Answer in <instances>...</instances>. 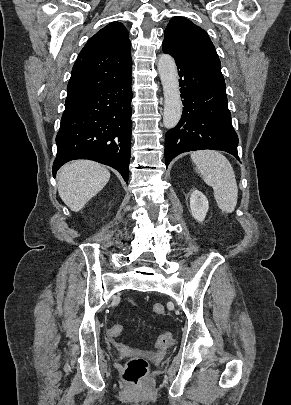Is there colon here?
Masks as SVG:
<instances>
[{"label": "colon", "instance_id": "colon-1", "mask_svg": "<svg viewBox=\"0 0 291 405\" xmlns=\"http://www.w3.org/2000/svg\"><path fill=\"white\" fill-rule=\"evenodd\" d=\"M153 310L156 314L162 315L165 310L163 305L155 304ZM123 333V326L121 324H114L109 329V335L111 337H119ZM173 341V336L170 332L161 334L157 341L156 346L162 348L169 346ZM148 362L141 357H135L130 359L123 370V379L125 382L131 385L140 384L148 375Z\"/></svg>", "mask_w": 291, "mask_h": 405}]
</instances>
